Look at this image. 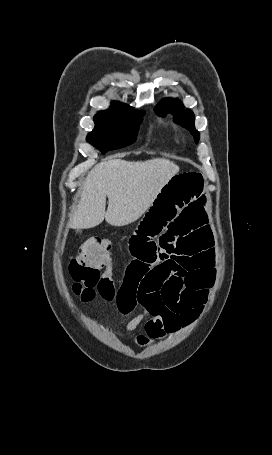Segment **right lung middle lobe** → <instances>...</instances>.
<instances>
[{"label":"right lung middle lobe","mask_w":272,"mask_h":455,"mask_svg":"<svg viewBox=\"0 0 272 455\" xmlns=\"http://www.w3.org/2000/svg\"><path fill=\"white\" fill-rule=\"evenodd\" d=\"M145 111L127 107L118 112L97 113L94 116L95 128L87 136V141L102 154L122 148L135 142L137 131Z\"/></svg>","instance_id":"obj_1"}]
</instances>
